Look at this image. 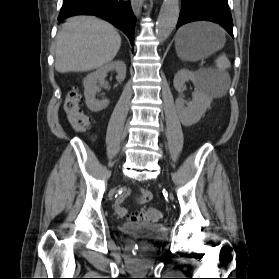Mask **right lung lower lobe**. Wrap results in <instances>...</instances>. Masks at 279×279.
<instances>
[{
	"instance_id": "right-lung-lower-lobe-1",
	"label": "right lung lower lobe",
	"mask_w": 279,
	"mask_h": 279,
	"mask_svg": "<svg viewBox=\"0 0 279 279\" xmlns=\"http://www.w3.org/2000/svg\"><path fill=\"white\" fill-rule=\"evenodd\" d=\"M74 15H94L111 22L128 36L133 45L136 18L130 1L63 0L58 21Z\"/></svg>"
}]
</instances>
